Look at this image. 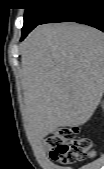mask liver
<instances>
[{
  "mask_svg": "<svg viewBox=\"0 0 104 169\" xmlns=\"http://www.w3.org/2000/svg\"><path fill=\"white\" fill-rule=\"evenodd\" d=\"M27 128L40 140L85 124L104 92V34L77 23L36 27L21 45Z\"/></svg>",
  "mask_w": 104,
  "mask_h": 169,
  "instance_id": "obj_1",
  "label": "liver"
}]
</instances>
